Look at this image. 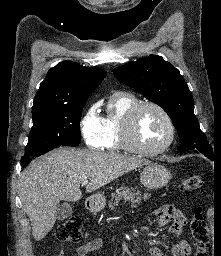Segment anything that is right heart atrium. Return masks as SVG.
Masks as SVG:
<instances>
[{
    "label": "right heart atrium",
    "instance_id": "obj_1",
    "mask_svg": "<svg viewBox=\"0 0 221 256\" xmlns=\"http://www.w3.org/2000/svg\"><path fill=\"white\" fill-rule=\"evenodd\" d=\"M80 132L85 144L90 148H101L104 142L103 117L98 112L97 104H92L80 119Z\"/></svg>",
    "mask_w": 221,
    "mask_h": 256
}]
</instances>
